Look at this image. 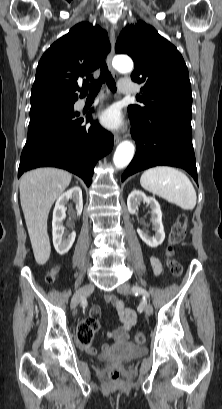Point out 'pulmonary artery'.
<instances>
[{"label": "pulmonary artery", "instance_id": "obj_1", "mask_svg": "<svg viewBox=\"0 0 222 409\" xmlns=\"http://www.w3.org/2000/svg\"><path fill=\"white\" fill-rule=\"evenodd\" d=\"M119 90L123 94H132L135 92V88L131 85L119 83Z\"/></svg>", "mask_w": 222, "mask_h": 409}]
</instances>
